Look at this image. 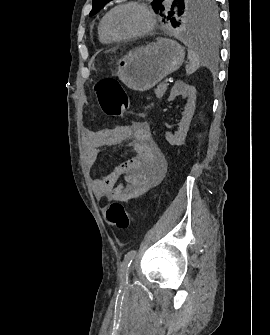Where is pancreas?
<instances>
[{
	"label": "pancreas",
	"mask_w": 270,
	"mask_h": 335,
	"mask_svg": "<svg viewBox=\"0 0 270 335\" xmlns=\"http://www.w3.org/2000/svg\"><path fill=\"white\" fill-rule=\"evenodd\" d=\"M166 90H167V84H164V82H162V84H159V86H157L156 90H154V92L156 94V98H162V96H164Z\"/></svg>",
	"instance_id": "obj_1"
}]
</instances>
